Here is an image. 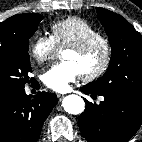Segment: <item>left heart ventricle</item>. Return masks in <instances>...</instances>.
I'll return each mask as SVG.
<instances>
[{
  "label": "left heart ventricle",
  "instance_id": "b2bd125f",
  "mask_svg": "<svg viewBox=\"0 0 142 142\" xmlns=\"http://www.w3.org/2000/svg\"><path fill=\"white\" fill-rule=\"evenodd\" d=\"M103 51L96 49L88 54L81 55L72 50L63 53V59L73 62L79 69L81 75L96 70L102 63Z\"/></svg>",
  "mask_w": 142,
  "mask_h": 142
}]
</instances>
